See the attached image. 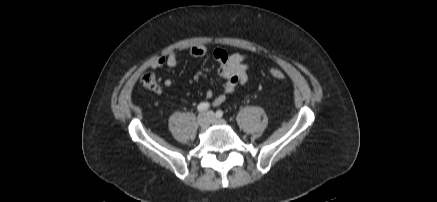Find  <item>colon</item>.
<instances>
[{
    "label": "colon",
    "instance_id": "5ec220e1",
    "mask_svg": "<svg viewBox=\"0 0 437 202\" xmlns=\"http://www.w3.org/2000/svg\"><path fill=\"white\" fill-rule=\"evenodd\" d=\"M270 75L276 80L285 79V74L279 69L270 70ZM141 83L145 88L149 90L157 91L159 89L158 81L152 72H145L141 76Z\"/></svg>",
    "mask_w": 437,
    "mask_h": 202
}]
</instances>
